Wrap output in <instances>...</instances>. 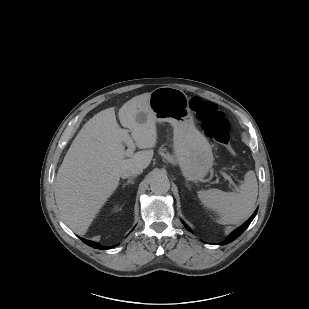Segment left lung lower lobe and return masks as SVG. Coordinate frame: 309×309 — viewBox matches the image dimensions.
I'll return each mask as SVG.
<instances>
[{
	"label": "left lung lower lobe",
	"instance_id": "0a47b994",
	"mask_svg": "<svg viewBox=\"0 0 309 309\" xmlns=\"http://www.w3.org/2000/svg\"><path fill=\"white\" fill-rule=\"evenodd\" d=\"M257 214V210L253 213V215L239 228H237L234 232H232L228 239L225 240L224 242L220 243V245H225L228 244L230 242H232L233 240H235L237 237H239L244 231L245 229L250 225V223L252 222V220L254 219V217ZM183 224L185 225V227L190 230V228L183 222Z\"/></svg>",
	"mask_w": 309,
	"mask_h": 309
}]
</instances>
